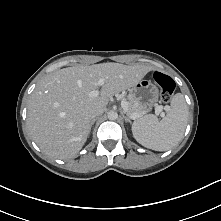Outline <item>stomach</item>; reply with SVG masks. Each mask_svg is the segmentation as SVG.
<instances>
[{"instance_id": "obj_1", "label": "stomach", "mask_w": 221, "mask_h": 221, "mask_svg": "<svg viewBox=\"0 0 221 221\" xmlns=\"http://www.w3.org/2000/svg\"><path fill=\"white\" fill-rule=\"evenodd\" d=\"M130 93L139 102L145 112L152 109L159 97L158 88L150 80H140L130 88Z\"/></svg>"}]
</instances>
